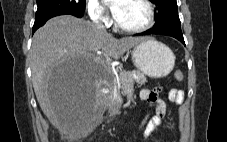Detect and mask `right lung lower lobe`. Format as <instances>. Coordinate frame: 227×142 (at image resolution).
<instances>
[{"instance_id": "1", "label": "right lung lower lobe", "mask_w": 227, "mask_h": 142, "mask_svg": "<svg viewBox=\"0 0 227 142\" xmlns=\"http://www.w3.org/2000/svg\"><path fill=\"white\" fill-rule=\"evenodd\" d=\"M58 15H73V16H76L78 18H81L83 16V12L62 11V12H54V13L38 16V17L35 18L32 33H34L39 27H41L48 19L55 17V16H58Z\"/></svg>"}]
</instances>
